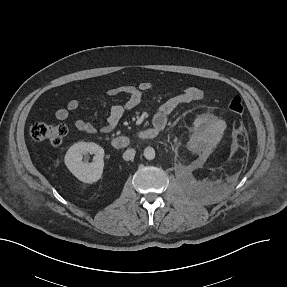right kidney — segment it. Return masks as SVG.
I'll return each mask as SVG.
<instances>
[{"mask_svg": "<svg viewBox=\"0 0 287 287\" xmlns=\"http://www.w3.org/2000/svg\"><path fill=\"white\" fill-rule=\"evenodd\" d=\"M94 154L93 162H83V156ZM104 149L93 142H78L66 152L64 162L70 172L84 183L97 182L103 173Z\"/></svg>", "mask_w": 287, "mask_h": 287, "instance_id": "1", "label": "right kidney"}]
</instances>
